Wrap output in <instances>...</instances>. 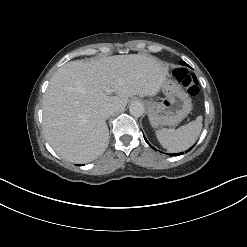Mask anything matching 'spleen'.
Here are the masks:
<instances>
[{
	"mask_svg": "<svg viewBox=\"0 0 247 247\" xmlns=\"http://www.w3.org/2000/svg\"><path fill=\"white\" fill-rule=\"evenodd\" d=\"M202 129V116L179 127L176 130L159 129L156 136L163 148L171 153L181 152L190 148L197 140Z\"/></svg>",
	"mask_w": 247,
	"mask_h": 247,
	"instance_id": "3e777b00",
	"label": "spleen"
}]
</instances>
